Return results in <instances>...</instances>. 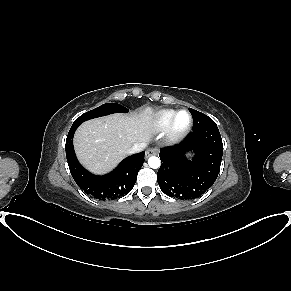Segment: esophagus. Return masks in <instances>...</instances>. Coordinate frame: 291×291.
<instances>
[{
	"instance_id": "esophagus-1",
	"label": "esophagus",
	"mask_w": 291,
	"mask_h": 291,
	"mask_svg": "<svg viewBox=\"0 0 291 291\" xmlns=\"http://www.w3.org/2000/svg\"><path fill=\"white\" fill-rule=\"evenodd\" d=\"M155 154H157V150L156 149L150 148V149H148L146 151V157L147 158L150 157V156H152V155H155Z\"/></svg>"
}]
</instances>
